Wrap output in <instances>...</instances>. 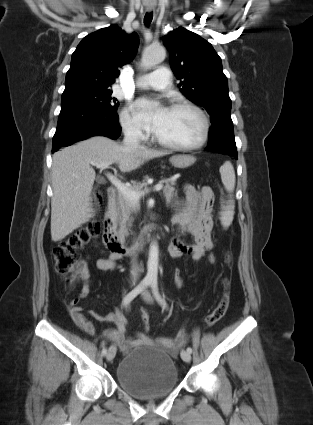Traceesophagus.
<instances>
[{"label": "esophagus", "mask_w": 313, "mask_h": 425, "mask_svg": "<svg viewBox=\"0 0 313 425\" xmlns=\"http://www.w3.org/2000/svg\"><path fill=\"white\" fill-rule=\"evenodd\" d=\"M151 9H152V8H150V7H148V8H147V10H148V11H151Z\"/></svg>", "instance_id": "1"}]
</instances>
